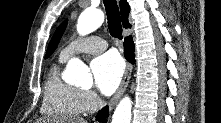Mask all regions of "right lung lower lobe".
Returning <instances> with one entry per match:
<instances>
[{
  "mask_svg": "<svg viewBox=\"0 0 221 123\" xmlns=\"http://www.w3.org/2000/svg\"><path fill=\"white\" fill-rule=\"evenodd\" d=\"M134 51L135 48L132 37L131 36L126 37L124 40V55L125 58L132 63L135 61ZM107 115H108V106L104 107L98 112L96 119L101 122H106Z\"/></svg>",
  "mask_w": 221,
  "mask_h": 123,
  "instance_id": "obj_1",
  "label": "right lung lower lobe"
}]
</instances>
